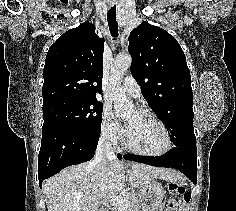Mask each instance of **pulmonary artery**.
I'll use <instances>...</instances> for the list:
<instances>
[{"mask_svg":"<svg viewBox=\"0 0 236 211\" xmlns=\"http://www.w3.org/2000/svg\"><path fill=\"white\" fill-rule=\"evenodd\" d=\"M123 90L126 94L132 97H139L141 94L140 86L135 78L128 76L124 79L122 84Z\"/></svg>","mask_w":236,"mask_h":211,"instance_id":"1","label":"pulmonary artery"}]
</instances>
